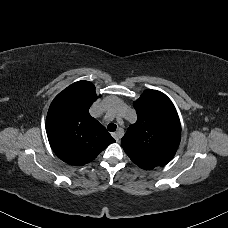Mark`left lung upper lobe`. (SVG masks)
I'll return each instance as SVG.
<instances>
[{"label":"left lung upper lobe","mask_w":228,"mask_h":228,"mask_svg":"<svg viewBox=\"0 0 228 228\" xmlns=\"http://www.w3.org/2000/svg\"><path fill=\"white\" fill-rule=\"evenodd\" d=\"M134 108L137 121L122 138L123 149L143 169L166 165L181 139L180 120L173 103L162 92L148 89L134 102Z\"/></svg>","instance_id":"5c2ea615"}]
</instances>
